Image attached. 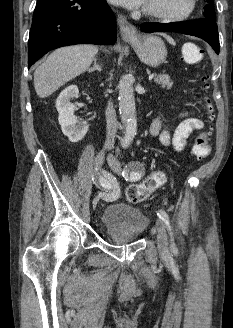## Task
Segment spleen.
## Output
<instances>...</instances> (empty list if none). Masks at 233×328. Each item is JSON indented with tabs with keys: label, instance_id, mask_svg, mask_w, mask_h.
Masks as SVG:
<instances>
[{
	"label": "spleen",
	"instance_id": "obj_1",
	"mask_svg": "<svg viewBox=\"0 0 233 328\" xmlns=\"http://www.w3.org/2000/svg\"><path fill=\"white\" fill-rule=\"evenodd\" d=\"M184 49H192L194 51V54L198 55V50H197L196 46L193 45L192 43H186L184 45Z\"/></svg>",
	"mask_w": 233,
	"mask_h": 328
}]
</instances>
